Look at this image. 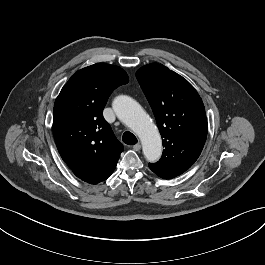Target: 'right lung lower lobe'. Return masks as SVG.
<instances>
[{
  "instance_id": "1",
  "label": "right lung lower lobe",
  "mask_w": 265,
  "mask_h": 265,
  "mask_svg": "<svg viewBox=\"0 0 265 265\" xmlns=\"http://www.w3.org/2000/svg\"><path fill=\"white\" fill-rule=\"evenodd\" d=\"M114 169H115V168H114ZM114 169L110 170V171H109V172H108L103 178L98 179V180L92 182L91 184H97V183H99V182H101V181L107 179V178L112 174V172H113Z\"/></svg>"
}]
</instances>
